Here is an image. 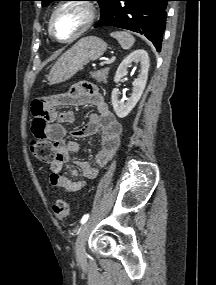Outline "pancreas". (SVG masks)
Returning a JSON list of instances; mask_svg holds the SVG:
<instances>
[{"label":"pancreas","mask_w":216,"mask_h":285,"mask_svg":"<svg viewBox=\"0 0 216 285\" xmlns=\"http://www.w3.org/2000/svg\"><path fill=\"white\" fill-rule=\"evenodd\" d=\"M110 68L106 67L104 69L93 71L90 73L91 77L99 83H106L108 78Z\"/></svg>","instance_id":"cf45deb5"}]
</instances>
